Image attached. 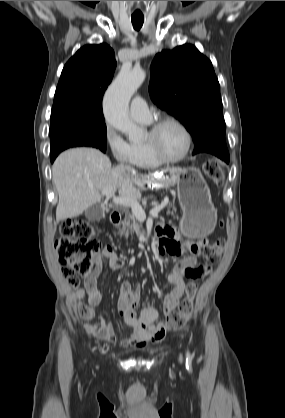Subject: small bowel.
Returning <instances> with one entry per match:
<instances>
[{
  "instance_id": "c3829d8e",
  "label": "small bowel",
  "mask_w": 285,
  "mask_h": 418,
  "mask_svg": "<svg viewBox=\"0 0 285 418\" xmlns=\"http://www.w3.org/2000/svg\"><path fill=\"white\" fill-rule=\"evenodd\" d=\"M158 247L171 256H179L182 250H188L189 254L174 265L172 273L168 275V281L173 285L172 291L164 298L162 313L170 314L174 311L187 294L185 278H202L211 269L208 265H197L196 258L200 255L204 239L195 242H181L174 238L170 229L158 227L156 230ZM104 263L110 268L118 270L125 266V260L116 255L111 247H105L94 259L92 273L89 275L84 287H74V299L77 303L79 316L86 321L85 331L98 339L115 342L118 333L117 324L114 321H106L97 314V308L102 301V294L96 287V278L102 271ZM140 289H132L129 282L121 284L117 311L122 316L126 326L132 329L131 335L121 342L123 348L142 347L148 342L160 343L164 340L166 332L160 334L156 321L159 310L154 307H144L140 313L136 307L140 301Z\"/></svg>"
}]
</instances>
